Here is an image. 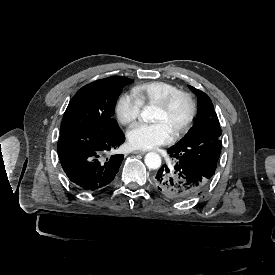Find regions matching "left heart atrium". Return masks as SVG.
<instances>
[{
    "label": "left heart atrium",
    "mask_w": 275,
    "mask_h": 275,
    "mask_svg": "<svg viewBox=\"0 0 275 275\" xmlns=\"http://www.w3.org/2000/svg\"><path fill=\"white\" fill-rule=\"evenodd\" d=\"M171 139L172 133L161 122L136 124L127 132L128 143L134 149H151Z\"/></svg>",
    "instance_id": "obj_1"
}]
</instances>
